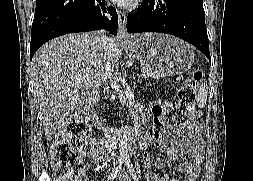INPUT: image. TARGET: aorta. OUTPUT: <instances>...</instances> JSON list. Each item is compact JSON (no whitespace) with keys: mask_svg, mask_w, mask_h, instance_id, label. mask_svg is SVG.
Returning <instances> with one entry per match:
<instances>
[{"mask_svg":"<svg viewBox=\"0 0 253 181\" xmlns=\"http://www.w3.org/2000/svg\"><path fill=\"white\" fill-rule=\"evenodd\" d=\"M120 144H122V145H120V150H121V152H120V157H128V147H127V145H125V139L122 137L121 139H120Z\"/></svg>","mask_w":253,"mask_h":181,"instance_id":"762f6f07","label":"aorta"}]
</instances>
